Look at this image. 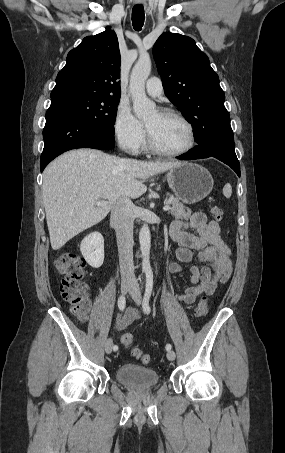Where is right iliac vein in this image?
<instances>
[{"mask_svg":"<svg viewBox=\"0 0 285 453\" xmlns=\"http://www.w3.org/2000/svg\"><path fill=\"white\" fill-rule=\"evenodd\" d=\"M132 287H133V284L130 282L124 281L121 283V291L123 294H126L127 292H129L132 289ZM104 347H105V352L107 354H110L112 352V348H113V340L111 338H108L105 341Z\"/></svg>","mask_w":285,"mask_h":453,"instance_id":"obj_1","label":"right iliac vein"}]
</instances>
